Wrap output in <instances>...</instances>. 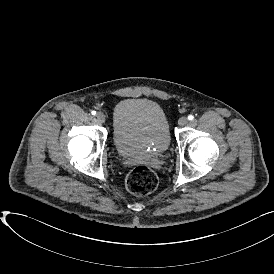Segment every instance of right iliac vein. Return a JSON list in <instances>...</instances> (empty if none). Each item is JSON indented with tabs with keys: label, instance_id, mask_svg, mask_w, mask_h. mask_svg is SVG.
I'll return each mask as SVG.
<instances>
[{
	"label": "right iliac vein",
	"instance_id": "obj_1",
	"mask_svg": "<svg viewBox=\"0 0 274 274\" xmlns=\"http://www.w3.org/2000/svg\"><path fill=\"white\" fill-rule=\"evenodd\" d=\"M96 118H97L98 122H100V123H104L106 120V117L102 112H98L96 114Z\"/></svg>",
	"mask_w": 274,
	"mask_h": 274
}]
</instances>
